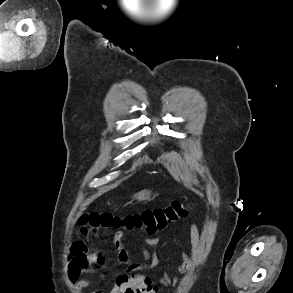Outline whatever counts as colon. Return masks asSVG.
<instances>
[{"instance_id":"colon-1","label":"colon","mask_w":293,"mask_h":293,"mask_svg":"<svg viewBox=\"0 0 293 293\" xmlns=\"http://www.w3.org/2000/svg\"><path fill=\"white\" fill-rule=\"evenodd\" d=\"M188 207L186 199H179L162 208L145 209L126 215L86 212L80 215L78 223L81 234L95 237L110 236L113 230L118 229L152 231L185 216Z\"/></svg>"}]
</instances>
